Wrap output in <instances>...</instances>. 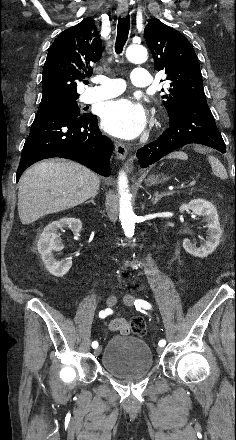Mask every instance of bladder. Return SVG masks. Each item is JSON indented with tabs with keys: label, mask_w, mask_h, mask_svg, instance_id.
I'll list each match as a JSON object with an SVG mask.
<instances>
[{
	"label": "bladder",
	"mask_w": 236,
	"mask_h": 440,
	"mask_svg": "<svg viewBox=\"0 0 236 440\" xmlns=\"http://www.w3.org/2000/svg\"><path fill=\"white\" fill-rule=\"evenodd\" d=\"M101 361L105 370L118 378L144 375L153 368L149 345L129 336L112 337L102 351Z\"/></svg>",
	"instance_id": "1"
}]
</instances>
